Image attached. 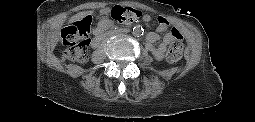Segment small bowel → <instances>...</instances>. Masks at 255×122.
<instances>
[{
	"label": "small bowel",
	"instance_id": "1",
	"mask_svg": "<svg viewBox=\"0 0 255 122\" xmlns=\"http://www.w3.org/2000/svg\"><path fill=\"white\" fill-rule=\"evenodd\" d=\"M149 20V17H145V21ZM167 27L168 22L164 18H159L158 27L154 31L149 32L146 37V50L152 52L154 57L158 60L163 58L167 46L176 40L172 30L166 34H163ZM156 42H158V45L155 47L154 43Z\"/></svg>",
	"mask_w": 255,
	"mask_h": 122
}]
</instances>
